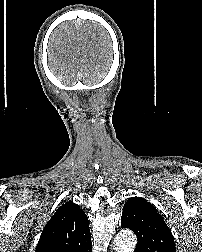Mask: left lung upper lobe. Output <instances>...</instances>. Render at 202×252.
<instances>
[{
	"instance_id": "obj_1",
	"label": "left lung upper lobe",
	"mask_w": 202,
	"mask_h": 252,
	"mask_svg": "<svg viewBox=\"0 0 202 252\" xmlns=\"http://www.w3.org/2000/svg\"><path fill=\"white\" fill-rule=\"evenodd\" d=\"M121 227L137 236L135 252H176L173 235L151 203L131 197L124 205Z\"/></svg>"
}]
</instances>
